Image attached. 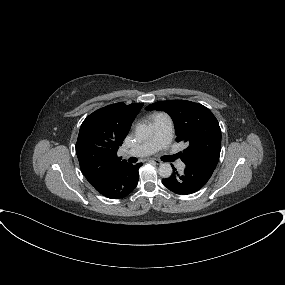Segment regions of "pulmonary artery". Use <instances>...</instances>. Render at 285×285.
<instances>
[{
	"label": "pulmonary artery",
	"instance_id": "1",
	"mask_svg": "<svg viewBox=\"0 0 285 285\" xmlns=\"http://www.w3.org/2000/svg\"><path fill=\"white\" fill-rule=\"evenodd\" d=\"M153 136L148 141L126 152L132 156H148L159 149L167 150L172 139V121L167 114H157L152 118ZM180 169L184 168L182 162H178Z\"/></svg>",
	"mask_w": 285,
	"mask_h": 285
}]
</instances>
